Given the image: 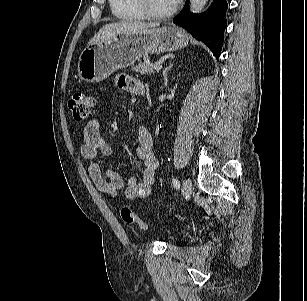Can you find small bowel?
Here are the masks:
<instances>
[{
	"label": "small bowel",
	"instance_id": "small-bowel-1",
	"mask_svg": "<svg viewBox=\"0 0 307 301\" xmlns=\"http://www.w3.org/2000/svg\"><path fill=\"white\" fill-rule=\"evenodd\" d=\"M117 86L129 93L139 94L144 89L143 83L131 76L120 75L116 80ZM83 158L88 162V173L95 187L102 193L115 198L123 188L122 178L112 171L103 172L101 166L96 162L98 156L106 157L111 153L108 141L101 133L97 120L88 122L83 130V141L80 147ZM136 156L143 163L142 177L129 179L124 195L128 199L145 197L150 193L155 181L158 160L153 150V139L145 127L137 129Z\"/></svg>",
	"mask_w": 307,
	"mask_h": 301
}]
</instances>
